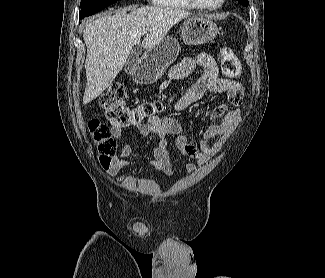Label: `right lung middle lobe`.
Returning <instances> with one entry per match:
<instances>
[{
	"label": "right lung middle lobe",
	"mask_w": 325,
	"mask_h": 278,
	"mask_svg": "<svg viewBox=\"0 0 325 278\" xmlns=\"http://www.w3.org/2000/svg\"><path fill=\"white\" fill-rule=\"evenodd\" d=\"M116 1L117 0H82L80 18L93 15Z\"/></svg>",
	"instance_id": "obj_1"
}]
</instances>
